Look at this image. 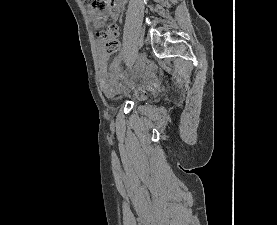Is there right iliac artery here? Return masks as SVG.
Here are the masks:
<instances>
[{"label":"right iliac artery","instance_id":"right-iliac-artery-1","mask_svg":"<svg viewBox=\"0 0 277 225\" xmlns=\"http://www.w3.org/2000/svg\"><path fill=\"white\" fill-rule=\"evenodd\" d=\"M136 68H137V62L134 61L131 65L130 73L126 78L125 83H128L129 81H131L134 78L135 73H136Z\"/></svg>","mask_w":277,"mask_h":225}]
</instances>
